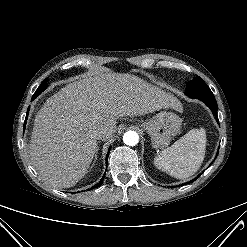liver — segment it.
Returning a JSON list of instances; mask_svg holds the SVG:
<instances>
[{"instance_id": "1", "label": "liver", "mask_w": 247, "mask_h": 247, "mask_svg": "<svg viewBox=\"0 0 247 247\" xmlns=\"http://www.w3.org/2000/svg\"><path fill=\"white\" fill-rule=\"evenodd\" d=\"M180 110L176 97L130 75L108 73L69 83L46 100L38 111L29 156L40 177L55 188L81 180L98 150L94 130L109 140L119 117L160 109Z\"/></svg>"}]
</instances>
